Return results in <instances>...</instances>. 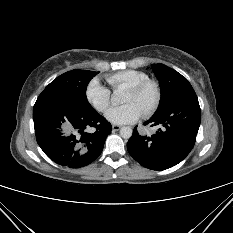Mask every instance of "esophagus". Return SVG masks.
<instances>
[{
  "instance_id": "34e87169",
  "label": "esophagus",
  "mask_w": 233,
  "mask_h": 233,
  "mask_svg": "<svg viewBox=\"0 0 233 233\" xmlns=\"http://www.w3.org/2000/svg\"><path fill=\"white\" fill-rule=\"evenodd\" d=\"M121 128L120 125H112L113 131H118Z\"/></svg>"
}]
</instances>
